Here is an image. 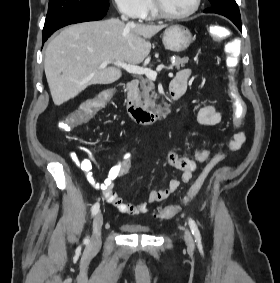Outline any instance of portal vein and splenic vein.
<instances>
[{
  "instance_id": "1",
  "label": "portal vein and splenic vein",
  "mask_w": 280,
  "mask_h": 283,
  "mask_svg": "<svg viewBox=\"0 0 280 283\" xmlns=\"http://www.w3.org/2000/svg\"><path fill=\"white\" fill-rule=\"evenodd\" d=\"M115 64L118 67H122L123 69H125L127 72L131 73V74H135V75H145L148 79L150 80H156L157 77V72L161 71L163 68H165L164 65H159L155 71L145 68V67H140L137 65H133V64H127L126 62H121V61H104L101 64V67L104 68L106 67L108 64Z\"/></svg>"
}]
</instances>
